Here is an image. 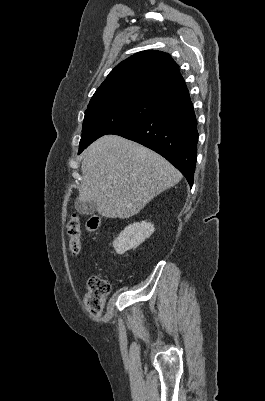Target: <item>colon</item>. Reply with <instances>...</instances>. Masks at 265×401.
I'll return each mask as SVG.
<instances>
[{
    "label": "colon",
    "mask_w": 265,
    "mask_h": 401,
    "mask_svg": "<svg viewBox=\"0 0 265 401\" xmlns=\"http://www.w3.org/2000/svg\"><path fill=\"white\" fill-rule=\"evenodd\" d=\"M101 219L98 215H91L86 222L89 231H96L100 226ZM67 234L69 236V248L73 255L79 254L81 250V224L77 215H72L67 223ZM111 291V283L99 276H92L87 283V293L84 303L87 311L93 318H98L103 310L106 297Z\"/></svg>",
    "instance_id": "colon-1"
}]
</instances>
